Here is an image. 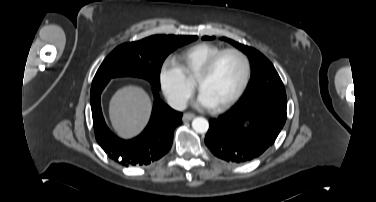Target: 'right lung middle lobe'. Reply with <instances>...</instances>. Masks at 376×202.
Returning a JSON list of instances; mask_svg holds the SVG:
<instances>
[{
    "instance_id": "right-lung-middle-lobe-1",
    "label": "right lung middle lobe",
    "mask_w": 376,
    "mask_h": 202,
    "mask_svg": "<svg viewBox=\"0 0 376 202\" xmlns=\"http://www.w3.org/2000/svg\"><path fill=\"white\" fill-rule=\"evenodd\" d=\"M197 36L154 35L114 49L99 67L92 84L119 76H137L160 89V70L165 58Z\"/></svg>"
}]
</instances>
